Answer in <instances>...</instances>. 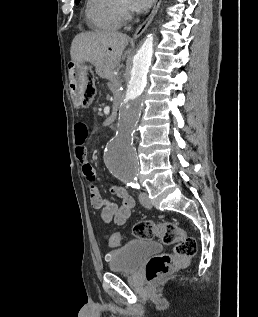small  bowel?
I'll use <instances>...</instances> for the list:
<instances>
[{"label": "small bowel", "instance_id": "small-bowel-1", "mask_svg": "<svg viewBox=\"0 0 258 317\" xmlns=\"http://www.w3.org/2000/svg\"><path fill=\"white\" fill-rule=\"evenodd\" d=\"M76 156L81 163L82 173L85 179L92 182L95 179V170L87 157L86 140L89 135L88 127L83 122L75 125ZM110 191L121 198V204L104 198L95 185L90 186V202L94 209L100 210V220L102 223H114L123 225L129 219L131 211L135 206L134 198L120 185L112 184Z\"/></svg>", "mask_w": 258, "mask_h": 317}]
</instances>
